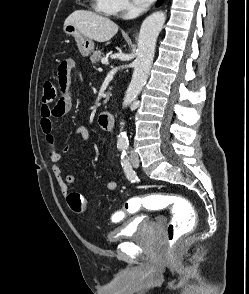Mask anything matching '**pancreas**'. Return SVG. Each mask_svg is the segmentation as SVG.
Wrapping results in <instances>:
<instances>
[{
	"label": "pancreas",
	"mask_w": 249,
	"mask_h": 294,
	"mask_svg": "<svg viewBox=\"0 0 249 294\" xmlns=\"http://www.w3.org/2000/svg\"><path fill=\"white\" fill-rule=\"evenodd\" d=\"M102 59H103V53H102L101 51H99V50L95 51V52L91 55V57H90V61H91V63H92L93 65L96 64V63H98V62H99L100 60H102ZM108 99H109V96L107 95V97H106V99H105V101H104V104L107 103Z\"/></svg>",
	"instance_id": "pancreas-1"
}]
</instances>
